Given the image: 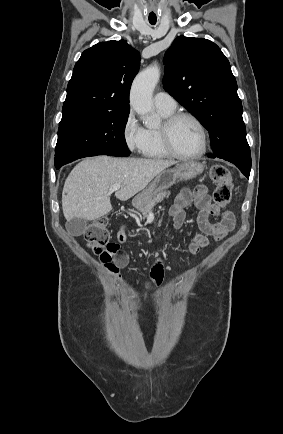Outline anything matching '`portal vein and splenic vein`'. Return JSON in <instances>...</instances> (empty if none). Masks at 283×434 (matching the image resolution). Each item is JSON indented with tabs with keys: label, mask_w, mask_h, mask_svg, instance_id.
<instances>
[{
	"label": "portal vein and splenic vein",
	"mask_w": 283,
	"mask_h": 434,
	"mask_svg": "<svg viewBox=\"0 0 283 434\" xmlns=\"http://www.w3.org/2000/svg\"><path fill=\"white\" fill-rule=\"evenodd\" d=\"M120 188H121V185H120V184H115V185H113V186H111V187L109 188V192L117 191V190L120 189Z\"/></svg>",
	"instance_id": "18ae733b"
}]
</instances>
